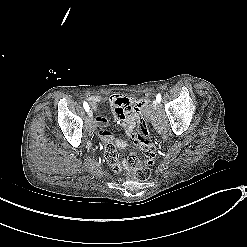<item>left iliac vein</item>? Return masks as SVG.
<instances>
[{
    "instance_id": "left-iliac-vein-1",
    "label": "left iliac vein",
    "mask_w": 247,
    "mask_h": 247,
    "mask_svg": "<svg viewBox=\"0 0 247 247\" xmlns=\"http://www.w3.org/2000/svg\"><path fill=\"white\" fill-rule=\"evenodd\" d=\"M153 107L155 108L159 107V103L157 102V100L153 102Z\"/></svg>"
}]
</instances>
